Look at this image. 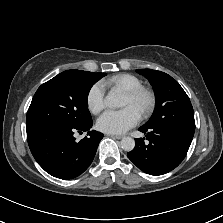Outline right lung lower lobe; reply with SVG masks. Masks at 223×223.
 <instances>
[{
    "label": "right lung lower lobe",
    "mask_w": 223,
    "mask_h": 223,
    "mask_svg": "<svg viewBox=\"0 0 223 223\" xmlns=\"http://www.w3.org/2000/svg\"><path fill=\"white\" fill-rule=\"evenodd\" d=\"M93 121L83 126H56L27 133L28 145L38 164L50 175L72 179L91 164L103 134L90 131ZM88 137L75 142V131Z\"/></svg>",
    "instance_id": "obj_1"
}]
</instances>
